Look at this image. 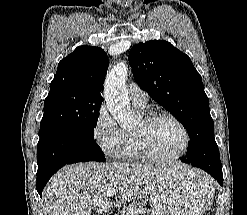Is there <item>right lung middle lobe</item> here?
Masks as SVG:
<instances>
[{
  "instance_id": "1",
  "label": "right lung middle lobe",
  "mask_w": 247,
  "mask_h": 215,
  "mask_svg": "<svg viewBox=\"0 0 247 215\" xmlns=\"http://www.w3.org/2000/svg\"><path fill=\"white\" fill-rule=\"evenodd\" d=\"M102 101L76 95L70 89L49 92L39 134L51 130H70L94 140V127Z\"/></svg>"
}]
</instances>
